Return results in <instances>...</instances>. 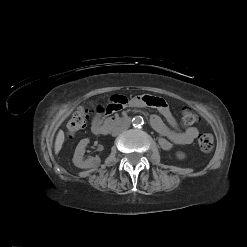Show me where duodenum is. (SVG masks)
<instances>
[{"mask_svg": "<svg viewBox=\"0 0 247 247\" xmlns=\"http://www.w3.org/2000/svg\"><path fill=\"white\" fill-rule=\"evenodd\" d=\"M129 122V117H110L106 119L103 124L98 126L95 133L98 135H105L116 126L127 124Z\"/></svg>", "mask_w": 247, "mask_h": 247, "instance_id": "1", "label": "duodenum"}]
</instances>
